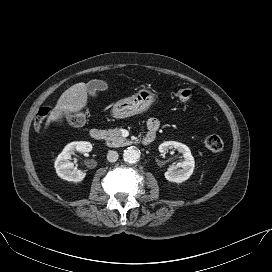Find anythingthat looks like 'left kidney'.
Returning <instances> with one entry per match:
<instances>
[{"instance_id": "1", "label": "left kidney", "mask_w": 272, "mask_h": 272, "mask_svg": "<svg viewBox=\"0 0 272 272\" xmlns=\"http://www.w3.org/2000/svg\"><path fill=\"white\" fill-rule=\"evenodd\" d=\"M171 149L178 150L183 155L184 160L177 164V167H181L180 169H168V171L165 172V178L170 182L182 183L189 179L193 174L195 167L194 157L192 156L190 149L185 144L176 141H166L159 146V151L161 153H166Z\"/></svg>"}]
</instances>
